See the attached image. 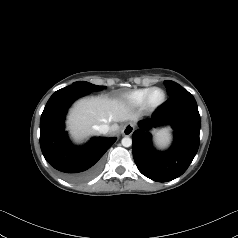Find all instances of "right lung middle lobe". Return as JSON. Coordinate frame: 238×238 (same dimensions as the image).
<instances>
[{"instance_id":"1","label":"right lung middle lobe","mask_w":238,"mask_h":238,"mask_svg":"<svg viewBox=\"0 0 238 238\" xmlns=\"http://www.w3.org/2000/svg\"><path fill=\"white\" fill-rule=\"evenodd\" d=\"M73 85H78L80 88L84 89L86 92L90 93L92 91H99L103 86H97L86 81H77Z\"/></svg>"}]
</instances>
